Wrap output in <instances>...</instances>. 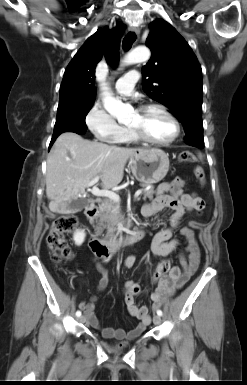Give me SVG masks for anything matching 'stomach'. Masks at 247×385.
Masks as SVG:
<instances>
[{"label": "stomach", "mask_w": 247, "mask_h": 385, "mask_svg": "<svg viewBox=\"0 0 247 385\" xmlns=\"http://www.w3.org/2000/svg\"><path fill=\"white\" fill-rule=\"evenodd\" d=\"M130 169L143 185L160 182L169 170V158L163 150L147 148L135 151L130 157Z\"/></svg>", "instance_id": "stomach-1"}]
</instances>
